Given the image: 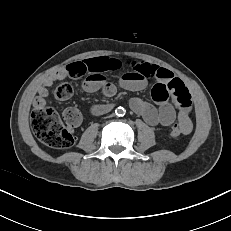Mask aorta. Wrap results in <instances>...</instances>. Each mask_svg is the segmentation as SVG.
Masks as SVG:
<instances>
[{"label": "aorta", "instance_id": "obj_1", "mask_svg": "<svg viewBox=\"0 0 231 231\" xmlns=\"http://www.w3.org/2000/svg\"><path fill=\"white\" fill-rule=\"evenodd\" d=\"M123 112H124V110H123L121 107H119V108L116 110V114H117V115H121V114H123Z\"/></svg>", "mask_w": 231, "mask_h": 231}]
</instances>
